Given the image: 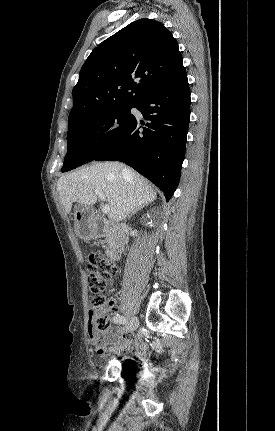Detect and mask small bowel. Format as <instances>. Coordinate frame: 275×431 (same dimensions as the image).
Instances as JSON below:
<instances>
[{
    "label": "small bowel",
    "instance_id": "1",
    "mask_svg": "<svg viewBox=\"0 0 275 431\" xmlns=\"http://www.w3.org/2000/svg\"><path fill=\"white\" fill-rule=\"evenodd\" d=\"M93 314L94 311L90 310V320L93 318ZM89 338L92 344L96 346L99 354L105 351H114L118 353L140 355L144 349L143 342L140 338L112 335V327L110 325L107 329L98 331L94 325L90 323ZM110 340L113 341L112 345H108Z\"/></svg>",
    "mask_w": 275,
    "mask_h": 431
}]
</instances>
